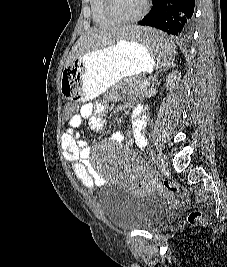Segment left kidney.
<instances>
[{
    "instance_id": "1",
    "label": "left kidney",
    "mask_w": 227,
    "mask_h": 267,
    "mask_svg": "<svg viewBox=\"0 0 227 267\" xmlns=\"http://www.w3.org/2000/svg\"><path fill=\"white\" fill-rule=\"evenodd\" d=\"M180 78H181V73H179L178 71H173L172 73H170L166 79L167 88L170 89L175 88Z\"/></svg>"
}]
</instances>
